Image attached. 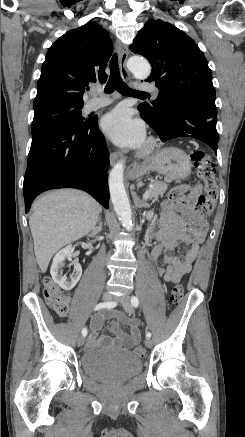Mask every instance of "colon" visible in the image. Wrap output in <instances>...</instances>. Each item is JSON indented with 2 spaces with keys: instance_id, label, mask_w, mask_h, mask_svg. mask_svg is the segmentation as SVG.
<instances>
[{
  "instance_id": "obj_1",
  "label": "colon",
  "mask_w": 245,
  "mask_h": 437,
  "mask_svg": "<svg viewBox=\"0 0 245 437\" xmlns=\"http://www.w3.org/2000/svg\"><path fill=\"white\" fill-rule=\"evenodd\" d=\"M194 167L199 177L204 182V193L201 194L196 206L199 211L205 214H211L214 211L218 197V187L215 181V170L210 156L200 150L193 151L190 155ZM192 191L188 185H182L174 188L171 192V199L176 203H182L186 196ZM183 296L181 286H174L169 295V301L172 305H177ZM44 297L47 303L58 316H65L69 308V297L55 284L51 278L44 280ZM134 352L139 357H144L146 350L142 346H136Z\"/></svg>"
}]
</instances>
